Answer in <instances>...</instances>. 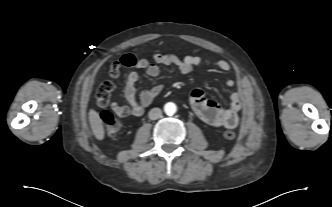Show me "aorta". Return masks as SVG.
Masks as SVG:
<instances>
[{
  "instance_id": "1",
  "label": "aorta",
  "mask_w": 332,
  "mask_h": 207,
  "mask_svg": "<svg viewBox=\"0 0 332 207\" xmlns=\"http://www.w3.org/2000/svg\"><path fill=\"white\" fill-rule=\"evenodd\" d=\"M164 111L167 115H173L177 111V107L173 102H168L164 105Z\"/></svg>"
}]
</instances>
